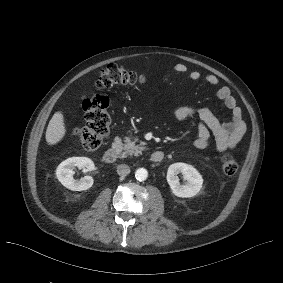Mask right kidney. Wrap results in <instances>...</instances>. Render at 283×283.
I'll list each match as a JSON object with an SVG mask.
<instances>
[{
  "mask_svg": "<svg viewBox=\"0 0 283 283\" xmlns=\"http://www.w3.org/2000/svg\"><path fill=\"white\" fill-rule=\"evenodd\" d=\"M75 167L82 168L84 172L94 170V163L87 157H71L59 164L56 169V176L61 184L73 191H83L89 189L93 185L91 176H84L80 180L73 178Z\"/></svg>",
  "mask_w": 283,
  "mask_h": 283,
  "instance_id": "obj_1",
  "label": "right kidney"
}]
</instances>
